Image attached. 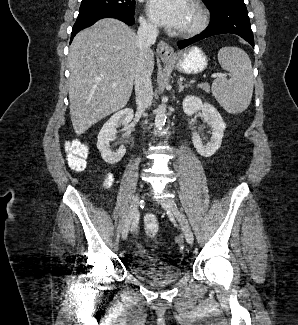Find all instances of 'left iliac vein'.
<instances>
[{"label": "left iliac vein", "mask_w": 298, "mask_h": 325, "mask_svg": "<svg viewBox=\"0 0 298 325\" xmlns=\"http://www.w3.org/2000/svg\"><path fill=\"white\" fill-rule=\"evenodd\" d=\"M162 207L170 214L174 215L180 221L185 239L189 245L193 244V232L187 222L180 216L179 210L173 200L164 198L161 200Z\"/></svg>", "instance_id": "obj_1"}]
</instances>
